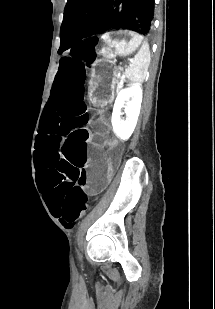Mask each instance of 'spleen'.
Listing matches in <instances>:
<instances>
[{
	"label": "spleen",
	"instance_id": "3e777b00",
	"mask_svg": "<svg viewBox=\"0 0 215 309\" xmlns=\"http://www.w3.org/2000/svg\"><path fill=\"white\" fill-rule=\"evenodd\" d=\"M150 64V50L148 42H143L140 50L135 54L131 64L125 68V74L134 84L143 82Z\"/></svg>",
	"mask_w": 215,
	"mask_h": 309
}]
</instances>
